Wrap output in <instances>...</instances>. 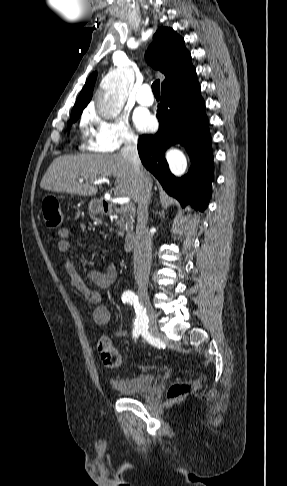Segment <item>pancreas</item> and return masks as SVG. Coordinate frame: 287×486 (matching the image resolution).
I'll return each instance as SVG.
<instances>
[{"instance_id": "pancreas-1", "label": "pancreas", "mask_w": 287, "mask_h": 486, "mask_svg": "<svg viewBox=\"0 0 287 486\" xmlns=\"http://www.w3.org/2000/svg\"><path fill=\"white\" fill-rule=\"evenodd\" d=\"M131 209H124L123 207L117 209L115 212V221L117 226V233L121 237L124 235V232H130L133 229L134 224V215L131 212Z\"/></svg>"}]
</instances>
